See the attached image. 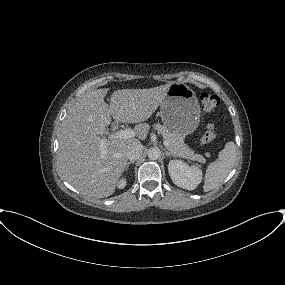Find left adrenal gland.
I'll list each match as a JSON object with an SVG mask.
<instances>
[{"label":"left adrenal gland","mask_w":285,"mask_h":285,"mask_svg":"<svg viewBox=\"0 0 285 285\" xmlns=\"http://www.w3.org/2000/svg\"><path fill=\"white\" fill-rule=\"evenodd\" d=\"M165 154H166L167 157H168V156H174L171 152H169V151H167V150H165Z\"/></svg>","instance_id":"left-adrenal-gland-1"}]
</instances>
